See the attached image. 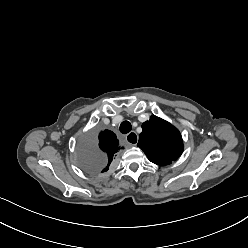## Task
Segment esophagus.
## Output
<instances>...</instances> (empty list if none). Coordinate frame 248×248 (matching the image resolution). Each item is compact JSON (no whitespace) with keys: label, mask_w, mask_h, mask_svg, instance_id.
<instances>
[{"label":"esophagus","mask_w":248,"mask_h":248,"mask_svg":"<svg viewBox=\"0 0 248 248\" xmlns=\"http://www.w3.org/2000/svg\"><path fill=\"white\" fill-rule=\"evenodd\" d=\"M126 141L129 145L134 146L138 142V135L135 132H130L126 135Z\"/></svg>","instance_id":"1"}]
</instances>
